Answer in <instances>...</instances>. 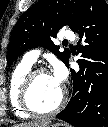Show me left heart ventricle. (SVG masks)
<instances>
[{"label": "left heart ventricle", "mask_w": 108, "mask_h": 127, "mask_svg": "<svg viewBox=\"0 0 108 127\" xmlns=\"http://www.w3.org/2000/svg\"><path fill=\"white\" fill-rule=\"evenodd\" d=\"M62 93L60 87L50 74L37 76L32 88V102L36 108L42 111L53 108Z\"/></svg>", "instance_id": "left-heart-ventricle-1"}]
</instances>
